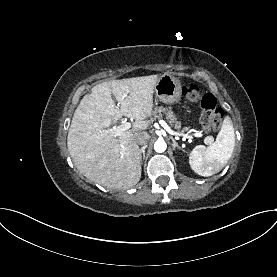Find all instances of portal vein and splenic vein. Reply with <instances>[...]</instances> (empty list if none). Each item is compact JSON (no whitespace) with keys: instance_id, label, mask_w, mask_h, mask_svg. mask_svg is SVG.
Instances as JSON below:
<instances>
[{"instance_id":"portal-vein-and-splenic-vein-1","label":"portal vein and splenic vein","mask_w":277,"mask_h":277,"mask_svg":"<svg viewBox=\"0 0 277 277\" xmlns=\"http://www.w3.org/2000/svg\"><path fill=\"white\" fill-rule=\"evenodd\" d=\"M159 124L171 135L188 137V134H184V133H180V132H176V131L172 130L163 119L159 120ZM130 128H131V123L124 121L121 123V125L112 128L111 132L114 134L115 137H117V136H121V134L123 132L127 131ZM202 135L203 134L201 132H197L195 134V136H197V137H201ZM204 142H205V144H211L213 142V137H211V136L206 137Z\"/></svg>"}]
</instances>
